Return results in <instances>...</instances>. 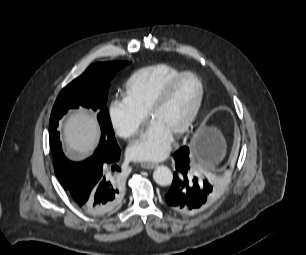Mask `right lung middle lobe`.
Instances as JSON below:
<instances>
[{
    "label": "right lung middle lobe",
    "instance_id": "dd1d6c3e",
    "mask_svg": "<svg viewBox=\"0 0 306 255\" xmlns=\"http://www.w3.org/2000/svg\"><path fill=\"white\" fill-rule=\"evenodd\" d=\"M127 64L126 61L93 64L80 77L69 83L57 97L51 112L49 135L55 173L60 182H64L66 178L65 165L68 160L61 150L59 132L56 131L59 119L69 108H91L97 111L101 127V140L96 151L101 147L117 144L106 103L110 80Z\"/></svg>",
    "mask_w": 306,
    "mask_h": 255
}]
</instances>
